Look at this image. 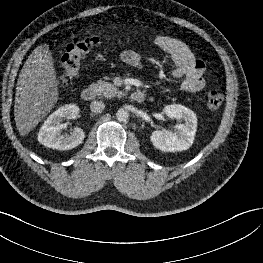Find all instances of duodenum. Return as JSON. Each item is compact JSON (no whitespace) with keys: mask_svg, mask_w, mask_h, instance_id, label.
<instances>
[{"mask_svg":"<svg viewBox=\"0 0 263 263\" xmlns=\"http://www.w3.org/2000/svg\"><path fill=\"white\" fill-rule=\"evenodd\" d=\"M81 97L84 101L90 102L95 99L96 91L92 87H86L82 90ZM131 98L136 102H143L146 98V94L143 91H137L131 95Z\"/></svg>","mask_w":263,"mask_h":263,"instance_id":"obj_1","label":"duodenum"}]
</instances>
